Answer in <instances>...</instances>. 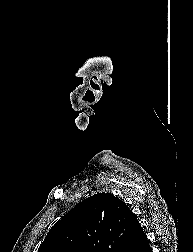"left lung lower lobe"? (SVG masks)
I'll use <instances>...</instances> for the list:
<instances>
[{
	"label": "left lung lower lobe",
	"mask_w": 193,
	"mask_h": 252,
	"mask_svg": "<svg viewBox=\"0 0 193 252\" xmlns=\"http://www.w3.org/2000/svg\"><path fill=\"white\" fill-rule=\"evenodd\" d=\"M123 252H152L140 224L136 227Z\"/></svg>",
	"instance_id": "left-lung-lower-lobe-1"
}]
</instances>
